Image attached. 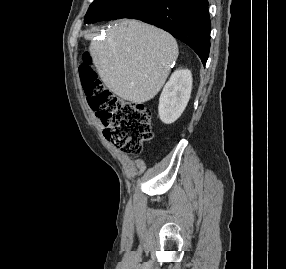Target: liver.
<instances>
[{
	"label": "liver",
	"mask_w": 286,
	"mask_h": 269,
	"mask_svg": "<svg viewBox=\"0 0 286 269\" xmlns=\"http://www.w3.org/2000/svg\"><path fill=\"white\" fill-rule=\"evenodd\" d=\"M84 37L91 41L92 62L107 88L135 104L157 95L178 57L177 42L169 33L137 20L119 21L104 41L91 33Z\"/></svg>",
	"instance_id": "1"
}]
</instances>
